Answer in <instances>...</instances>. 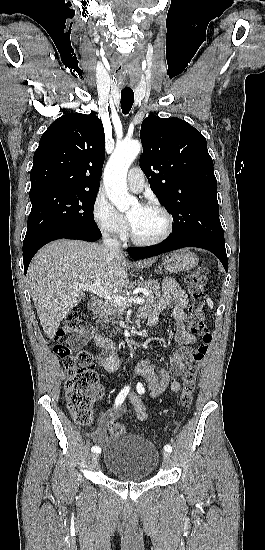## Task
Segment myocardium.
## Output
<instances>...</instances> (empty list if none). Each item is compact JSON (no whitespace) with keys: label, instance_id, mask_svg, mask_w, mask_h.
<instances>
[{"label":"myocardium","instance_id":"1","mask_svg":"<svg viewBox=\"0 0 265 550\" xmlns=\"http://www.w3.org/2000/svg\"><path fill=\"white\" fill-rule=\"evenodd\" d=\"M141 206L144 207V208H148V209H154V210H157L160 213H162L163 216L166 219V228H165L164 232L156 238L141 239V238H139L135 235V233L132 229L131 223H130L129 219H127L128 232H129V237H130L131 241L135 245H138V246H153V245H157V244H160V243L164 242L166 239L169 238V236L172 234L173 229H174V218H173L172 214L164 206H162L158 202L149 201V202L142 203Z\"/></svg>","mask_w":265,"mask_h":550}]
</instances>
